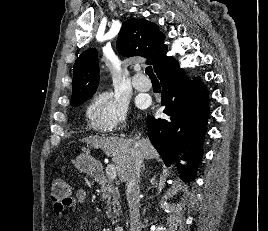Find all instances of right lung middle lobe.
<instances>
[{"mask_svg": "<svg viewBox=\"0 0 268 231\" xmlns=\"http://www.w3.org/2000/svg\"><path fill=\"white\" fill-rule=\"evenodd\" d=\"M86 100H87V99L82 100V101H79V102H76V103H73V104H71V105L74 106V107H76V106L82 104L83 102H85Z\"/></svg>", "mask_w": 268, "mask_h": 231, "instance_id": "dd1d6c3e", "label": "right lung middle lobe"}]
</instances>
